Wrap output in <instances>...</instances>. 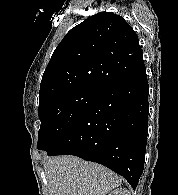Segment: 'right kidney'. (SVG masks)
I'll return each instance as SVG.
<instances>
[{
    "label": "right kidney",
    "instance_id": "1",
    "mask_svg": "<svg viewBox=\"0 0 178 195\" xmlns=\"http://www.w3.org/2000/svg\"><path fill=\"white\" fill-rule=\"evenodd\" d=\"M109 195H130V192L125 188H117L111 191Z\"/></svg>",
    "mask_w": 178,
    "mask_h": 195
}]
</instances>
